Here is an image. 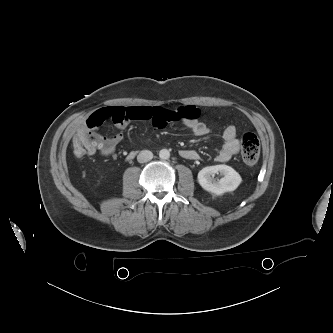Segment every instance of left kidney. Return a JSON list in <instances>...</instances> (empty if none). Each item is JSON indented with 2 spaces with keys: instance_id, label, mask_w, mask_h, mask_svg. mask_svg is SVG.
Here are the masks:
<instances>
[{
  "instance_id": "obj_1",
  "label": "left kidney",
  "mask_w": 333,
  "mask_h": 333,
  "mask_svg": "<svg viewBox=\"0 0 333 333\" xmlns=\"http://www.w3.org/2000/svg\"><path fill=\"white\" fill-rule=\"evenodd\" d=\"M216 173L223 175L219 181L213 179ZM241 181L239 173L227 165L207 166L198 173V182L201 187L216 195L236 190Z\"/></svg>"
}]
</instances>
